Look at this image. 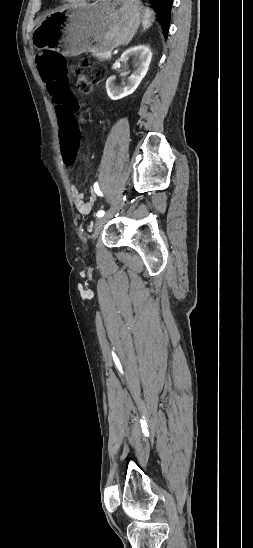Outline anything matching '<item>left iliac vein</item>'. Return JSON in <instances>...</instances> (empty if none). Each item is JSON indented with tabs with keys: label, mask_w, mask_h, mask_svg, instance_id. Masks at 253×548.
<instances>
[{
	"label": "left iliac vein",
	"mask_w": 253,
	"mask_h": 548,
	"mask_svg": "<svg viewBox=\"0 0 253 548\" xmlns=\"http://www.w3.org/2000/svg\"><path fill=\"white\" fill-rule=\"evenodd\" d=\"M120 201H121V195H119L117 197V200L116 202L114 203V205L112 206V208L109 210V212L102 216V217H99L96 221H95V225H94V232L92 234V241L94 242L95 239L97 238V236L99 235L102 227L104 226V224L114 215V213L116 212V210L118 209V206L120 204Z\"/></svg>",
	"instance_id": "4c4485c4"
}]
</instances>
